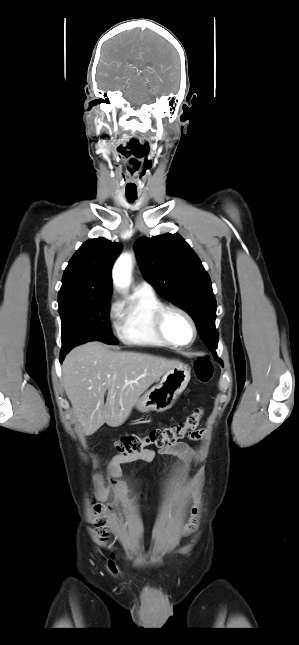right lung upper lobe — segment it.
<instances>
[{
    "label": "right lung upper lobe",
    "mask_w": 299,
    "mask_h": 645,
    "mask_svg": "<svg viewBox=\"0 0 299 645\" xmlns=\"http://www.w3.org/2000/svg\"><path fill=\"white\" fill-rule=\"evenodd\" d=\"M121 250L120 242L104 238L83 243L64 271L58 303L111 295V269Z\"/></svg>",
    "instance_id": "1"
}]
</instances>
